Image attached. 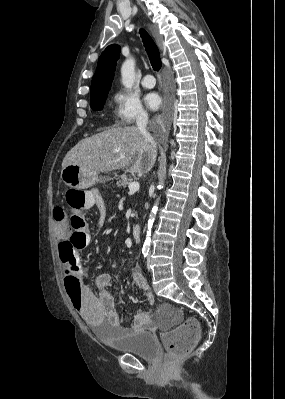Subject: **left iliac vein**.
Masks as SVG:
<instances>
[{"instance_id": "4c4485c4", "label": "left iliac vein", "mask_w": 285, "mask_h": 399, "mask_svg": "<svg viewBox=\"0 0 285 399\" xmlns=\"http://www.w3.org/2000/svg\"><path fill=\"white\" fill-rule=\"evenodd\" d=\"M151 255H152V251L149 253V256L147 258V269H148V271H151Z\"/></svg>"}]
</instances>
